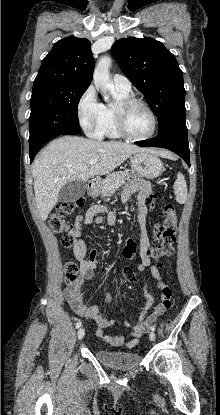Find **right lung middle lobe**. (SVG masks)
<instances>
[{
  "label": "right lung middle lobe",
  "instance_id": "1",
  "mask_svg": "<svg viewBox=\"0 0 220 415\" xmlns=\"http://www.w3.org/2000/svg\"><path fill=\"white\" fill-rule=\"evenodd\" d=\"M89 86L64 82L33 84L31 96L30 151L52 137L72 135L80 130L78 103Z\"/></svg>",
  "mask_w": 220,
  "mask_h": 415
}]
</instances>
